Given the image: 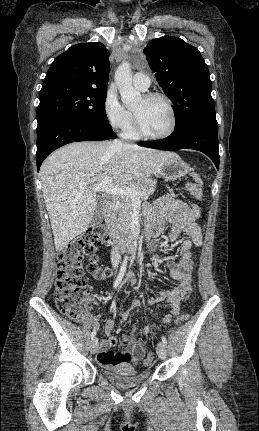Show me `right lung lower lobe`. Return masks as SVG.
<instances>
[{"instance_id":"1","label":"right lung lower lobe","mask_w":259,"mask_h":431,"mask_svg":"<svg viewBox=\"0 0 259 431\" xmlns=\"http://www.w3.org/2000/svg\"><path fill=\"white\" fill-rule=\"evenodd\" d=\"M116 137L110 124L73 116H57L37 126V170L57 148L75 141H97Z\"/></svg>"}]
</instances>
